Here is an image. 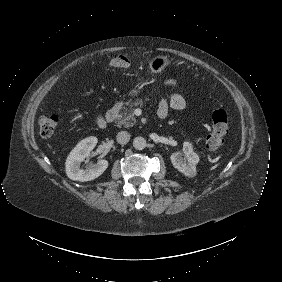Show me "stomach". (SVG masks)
Wrapping results in <instances>:
<instances>
[{
  "label": "stomach",
  "instance_id": "0dacf381",
  "mask_svg": "<svg viewBox=\"0 0 282 282\" xmlns=\"http://www.w3.org/2000/svg\"><path fill=\"white\" fill-rule=\"evenodd\" d=\"M147 65H148V70L150 74L160 75L168 67H171L172 65H174V61L166 55L157 54L149 58ZM141 93H142V90L139 87H137V88L131 89L128 92V96L131 99H134L138 97Z\"/></svg>",
  "mask_w": 282,
  "mask_h": 282
}]
</instances>
